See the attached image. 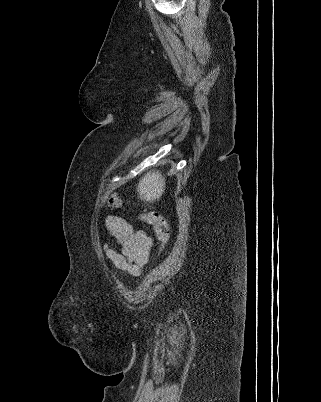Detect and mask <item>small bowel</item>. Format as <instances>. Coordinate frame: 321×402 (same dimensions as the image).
Masks as SVG:
<instances>
[{
    "label": "small bowel",
    "instance_id": "small-bowel-1",
    "mask_svg": "<svg viewBox=\"0 0 321 402\" xmlns=\"http://www.w3.org/2000/svg\"><path fill=\"white\" fill-rule=\"evenodd\" d=\"M105 224L120 246L119 251L108 245L104 247L105 254L112 261L114 270L122 275L139 276L149 259L151 238L145 231L135 230L126 219L118 215H109ZM74 327H79V322H74ZM77 337H82V332H77Z\"/></svg>",
    "mask_w": 321,
    "mask_h": 402
}]
</instances>
